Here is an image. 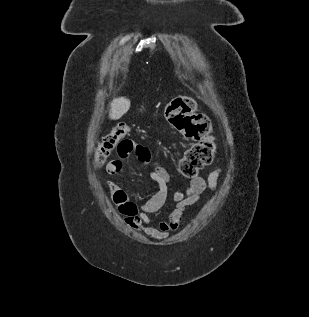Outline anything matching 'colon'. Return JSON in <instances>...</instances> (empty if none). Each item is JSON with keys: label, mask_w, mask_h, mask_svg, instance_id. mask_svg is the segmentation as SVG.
<instances>
[{"label": "colon", "mask_w": 309, "mask_h": 317, "mask_svg": "<svg viewBox=\"0 0 309 317\" xmlns=\"http://www.w3.org/2000/svg\"><path fill=\"white\" fill-rule=\"evenodd\" d=\"M195 110L194 100L187 96L174 98L165 109V117L169 124L184 136L196 141L184 152L179 163L180 173L191 179L198 177L199 171L212 162L215 153L210 121L205 115L198 114ZM129 132V125L119 123L104 136L95 151V165L101 166L115 148L118 152L124 151L125 143L132 142L125 139ZM132 145L135 154L142 152V146L134 142Z\"/></svg>", "instance_id": "1"}]
</instances>
